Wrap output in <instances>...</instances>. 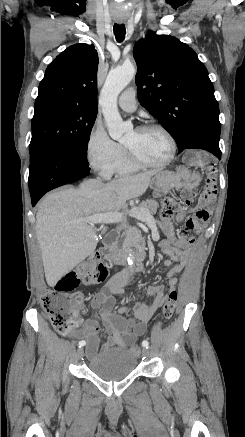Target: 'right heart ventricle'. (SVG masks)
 <instances>
[{
  "label": "right heart ventricle",
  "instance_id": "1",
  "mask_svg": "<svg viewBox=\"0 0 245 437\" xmlns=\"http://www.w3.org/2000/svg\"><path fill=\"white\" fill-rule=\"evenodd\" d=\"M140 168L141 167L133 164L127 159L124 150L122 149V154L113 169V174L118 176L127 175L137 172Z\"/></svg>",
  "mask_w": 245,
  "mask_h": 437
}]
</instances>
